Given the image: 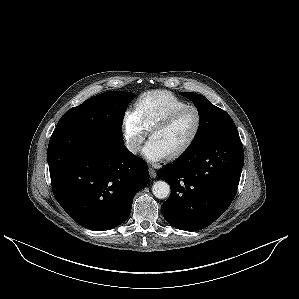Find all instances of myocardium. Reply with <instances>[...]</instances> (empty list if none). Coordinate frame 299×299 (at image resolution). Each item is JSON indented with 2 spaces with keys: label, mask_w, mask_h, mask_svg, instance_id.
<instances>
[{
  "label": "myocardium",
  "mask_w": 299,
  "mask_h": 299,
  "mask_svg": "<svg viewBox=\"0 0 299 299\" xmlns=\"http://www.w3.org/2000/svg\"><path fill=\"white\" fill-rule=\"evenodd\" d=\"M189 110H193L197 116V123H196L195 130H194L192 136L189 138V140L186 142V144L184 146H182L180 149H178L177 151H175L167 156L171 160L177 159V158L185 155L197 141L199 134L201 132V129H202V125H203V115H202L201 110L197 106H194V105L184 106V107L179 108V109L175 110L174 112L170 113L168 116H166L159 122L155 123L150 128L149 136L151 137L154 132L169 127L183 113H185L186 111H189Z\"/></svg>",
  "instance_id": "myocardium-1"
}]
</instances>
